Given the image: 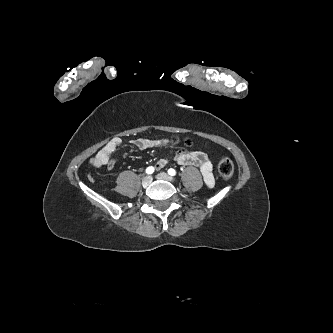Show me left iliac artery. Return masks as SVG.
<instances>
[{
	"label": "left iliac artery",
	"instance_id": "44dca946",
	"mask_svg": "<svg viewBox=\"0 0 333 333\" xmlns=\"http://www.w3.org/2000/svg\"><path fill=\"white\" fill-rule=\"evenodd\" d=\"M168 174L171 175V176H174V175H176V170L173 169V168H170V169L168 170Z\"/></svg>",
	"mask_w": 333,
	"mask_h": 333
}]
</instances>
